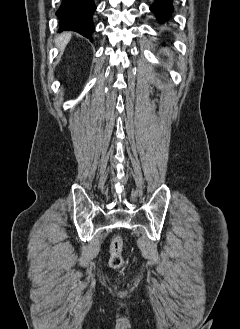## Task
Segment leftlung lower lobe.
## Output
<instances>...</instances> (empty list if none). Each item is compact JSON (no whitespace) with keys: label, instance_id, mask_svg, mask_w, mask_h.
Instances as JSON below:
<instances>
[{"label":"left lung lower lobe","instance_id":"left-lung-lower-lobe-1","mask_svg":"<svg viewBox=\"0 0 240 329\" xmlns=\"http://www.w3.org/2000/svg\"><path fill=\"white\" fill-rule=\"evenodd\" d=\"M173 0H154L150 10L154 13L159 24H165L169 21L173 12Z\"/></svg>","mask_w":240,"mask_h":329}]
</instances>
